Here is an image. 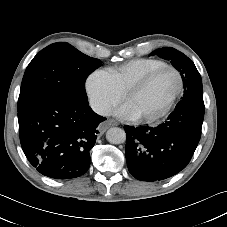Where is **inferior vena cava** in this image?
<instances>
[{
	"instance_id": "1",
	"label": "inferior vena cava",
	"mask_w": 227,
	"mask_h": 227,
	"mask_svg": "<svg viewBox=\"0 0 227 227\" xmlns=\"http://www.w3.org/2000/svg\"><path fill=\"white\" fill-rule=\"evenodd\" d=\"M90 106L94 112L102 116H107L111 110L110 106L107 103L98 99H92L90 101Z\"/></svg>"
}]
</instances>
